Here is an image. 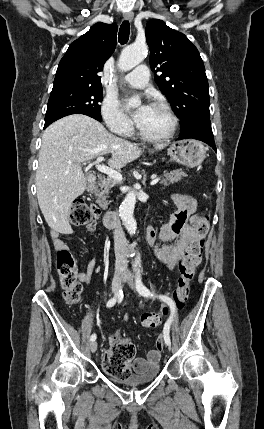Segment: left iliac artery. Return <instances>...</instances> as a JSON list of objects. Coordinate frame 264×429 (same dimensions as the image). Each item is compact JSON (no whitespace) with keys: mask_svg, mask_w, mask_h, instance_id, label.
<instances>
[{"mask_svg":"<svg viewBox=\"0 0 264 429\" xmlns=\"http://www.w3.org/2000/svg\"><path fill=\"white\" fill-rule=\"evenodd\" d=\"M136 289L137 291L144 297H158L160 300L166 302L170 308H171V316L169 317V319L167 320V322L164 325V329H163V336H164V340L165 343L167 345H171V341H170V335H169V331H170V326L171 323L174 319L175 316V305L173 303V301L165 295H159L156 296L154 295L143 283L141 280V274H140V270L137 271V278H136Z\"/></svg>","mask_w":264,"mask_h":429,"instance_id":"obj_1","label":"left iliac artery"}]
</instances>
